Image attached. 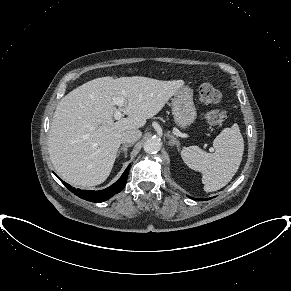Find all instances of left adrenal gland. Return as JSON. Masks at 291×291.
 Instances as JSON below:
<instances>
[{
  "label": "left adrenal gland",
  "instance_id": "obj_1",
  "mask_svg": "<svg viewBox=\"0 0 291 291\" xmlns=\"http://www.w3.org/2000/svg\"><path fill=\"white\" fill-rule=\"evenodd\" d=\"M167 137L170 138L169 145L170 146L176 145L177 149L179 150V147H180L179 140L176 137H174L172 134H170V132L167 133Z\"/></svg>",
  "mask_w": 291,
  "mask_h": 291
}]
</instances>
